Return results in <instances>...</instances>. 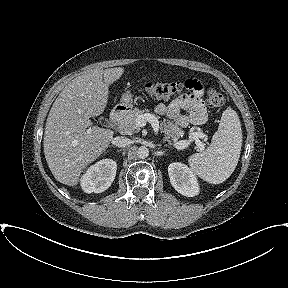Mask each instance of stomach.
<instances>
[{"instance_id":"0dacf381","label":"stomach","mask_w":288,"mask_h":288,"mask_svg":"<svg viewBox=\"0 0 288 288\" xmlns=\"http://www.w3.org/2000/svg\"><path fill=\"white\" fill-rule=\"evenodd\" d=\"M133 107V95L130 91L122 94L120 103L116 105L117 110L121 112H128Z\"/></svg>"}]
</instances>
